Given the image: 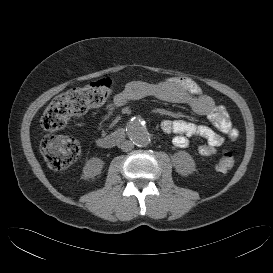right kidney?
<instances>
[{"label": "right kidney", "mask_w": 273, "mask_h": 273, "mask_svg": "<svg viewBox=\"0 0 273 273\" xmlns=\"http://www.w3.org/2000/svg\"><path fill=\"white\" fill-rule=\"evenodd\" d=\"M103 166L104 162L97 157L87 160L85 166L83 167L84 177L87 179L94 178L101 173Z\"/></svg>", "instance_id": "ca27d5eb"}]
</instances>
